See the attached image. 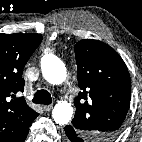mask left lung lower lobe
<instances>
[{"instance_id":"left-lung-lower-lobe-1","label":"left lung lower lobe","mask_w":142,"mask_h":142,"mask_svg":"<svg viewBox=\"0 0 142 142\" xmlns=\"http://www.w3.org/2000/svg\"><path fill=\"white\" fill-rule=\"evenodd\" d=\"M67 142H85L86 140L71 126L64 127Z\"/></svg>"}]
</instances>
